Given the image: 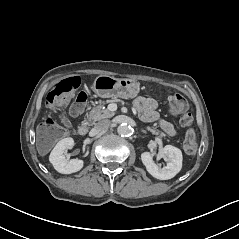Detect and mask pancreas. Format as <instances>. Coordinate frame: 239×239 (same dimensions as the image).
<instances>
[{"label":"pancreas","instance_id":"pancreas-1","mask_svg":"<svg viewBox=\"0 0 239 239\" xmlns=\"http://www.w3.org/2000/svg\"><path fill=\"white\" fill-rule=\"evenodd\" d=\"M105 106L106 102L103 100H99L98 105L89 112L87 118L91 124L94 125L99 120L110 118L115 115V112L109 111L105 108ZM145 129L148 130L152 135H155L160 139L166 140L167 142L170 141L167 138V134L155 126H146Z\"/></svg>","mask_w":239,"mask_h":239}]
</instances>
